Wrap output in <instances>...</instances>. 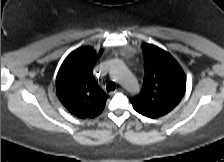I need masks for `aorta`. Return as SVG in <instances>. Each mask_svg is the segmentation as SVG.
Listing matches in <instances>:
<instances>
[{"mask_svg": "<svg viewBox=\"0 0 224 162\" xmlns=\"http://www.w3.org/2000/svg\"><path fill=\"white\" fill-rule=\"evenodd\" d=\"M110 75L131 93L140 91L136 77L130 72L124 62L114 59L110 64Z\"/></svg>", "mask_w": 224, "mask_h": 162, "instance_id": "aorta-1", "label": "aorta"}]
</instances>
